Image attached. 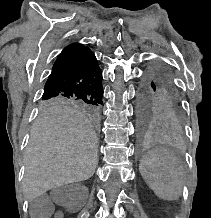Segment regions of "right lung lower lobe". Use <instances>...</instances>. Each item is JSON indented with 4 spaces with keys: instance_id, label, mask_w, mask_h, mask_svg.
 <instances>
[{
    "instance_id": "98d812e1",
    "label": "right lung lower lobe",
    "mask_w": 211,
    "mask_h": 218,
    "mask_svg": "<svg viewBox=\"0 0 211 218\" xmlns=\"http://www.w3.org/2000/svg\"><path fill=\"white\" fill-rule=\"evenodd\" d=\"M75 97L102 104V74L89 49L57 58L42 98Z\"/></svg>"
}]
</instances>
